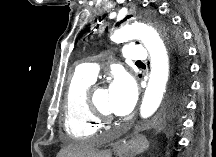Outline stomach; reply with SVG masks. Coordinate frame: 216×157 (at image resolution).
Listing matches in <instances>:
<instances>
[{
    "mask_svg": "<svg viewBox=\"0 0 216 157\" xmlns=\"http://www.w3.org/2000/svg\"><path fill=\"white\" fill-rule=\"evenodd\" d=\"M121 148L128 155H137L148 148V141L143 135H135L129 140L123 141Z\"/></svg>",
    "mask_w": 216,
    "mask_h": 157,
    "instance_id": "obj_1",
    "label": "stomach"
}]
</instances>
